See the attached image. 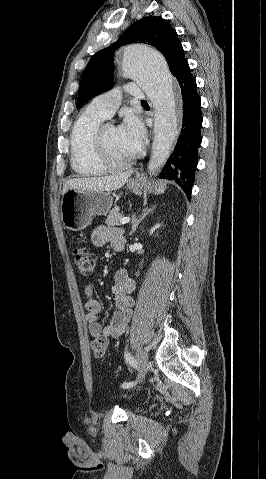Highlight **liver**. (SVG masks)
<instances>
[{
	"label": "liver",
	"instance_id": "liver-1",
	"mask_svg": "<svg viewBox=\"0 0 266 479\" xmlns=\"http://www.w3.org/2000/svg\"><path fill=\"white\" fill-rule=\"evenodd\" d=\"M131 174L127 171L105 177L72 178L66 181L62 193L68 190L110 192L123 187Z\"/></svg>",
	"mask_w": 266,
	"mask_h": 479
}]
</instances>
